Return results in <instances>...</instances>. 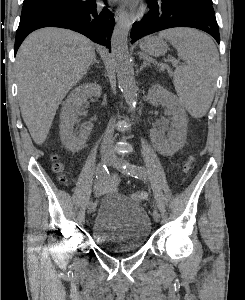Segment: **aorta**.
Returning <instances> with one entry per match:
<instances>
[{"label":"aorta","instance_id":"aorta-1","mask_svg":"<svg viewBox=\"0 0 245 300\" xmlns=\"http://www.w3.org/2000/svg\"><path fill=\"white\" fill-rule=\"evenodd\" d=\"M130 25L127 14L119 18L112 33L111 47L119 88L130 109L134 110L137 102V86L128 51Z\"/></svg>","mask_w":245,"mask_h":300}]
</instances>
